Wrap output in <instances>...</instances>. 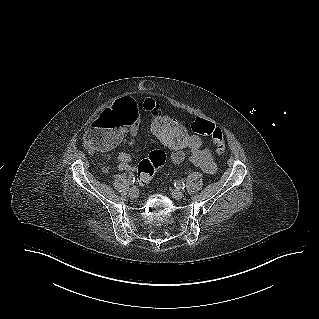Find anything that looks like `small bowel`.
Instances as JSON below:
<instances>
[{
  "mask_svg": "<svg viewBox=\"0 0 319 319\" xmlns=\"http://www.w3.org/2000/svg\"><path fill=\"white\" fill-rule=\"evenodd\" d=\"M139 107L149 113L150 116L162 112L160 104L153 99L144 100L141 106L139 101L134 97H125L119 101H113L112 108H104L103 113L91 118V125L88 127L85 135L88 146L96 152L103 153L116 148L120 142L128 138L129 146L134 145L138 136V128L136 126H138L139 123ZM174 121L182 125L178 121ZM193 122L194 121H188L187 125L188 130H191V134L205 135L193 127ZM163 145L171 151L170 161L172 164L177 165L184 161L186 157L185 153L178 152L165 144ZM118 160L120 170H135V167L131 164V156L129 153L124 151L120 152L118 154ZM189 160L206 174H214L217 170V163L209 148L205 147L199 152H190Z\"/></svg>",
  "mask_w": 319,
  "mask_h": 319,
  "instance_id": "obj_1",
  "label": "small bowel"
}]
</instances>
